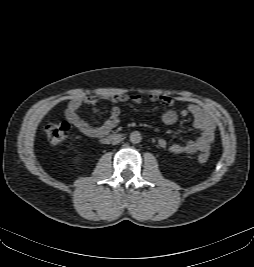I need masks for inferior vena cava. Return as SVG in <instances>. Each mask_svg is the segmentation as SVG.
I'll list each match as a JSON object with an SVG mask.
<instances>
[{
	"label": "inferior vena cava",
	"instance_id": "602c4592",
	"mask_svg": "<svg viewBox=\"0 0 254 267\" xmlns=\"http://www.w3.org/2000/svg\"><path fill=\"white\" fill-rule=\"evenodd\" d=\"M122 139L120 138H115L113 141H112V144H118Z\"/></svg>",
	"mask_w": 254,
	"mask_h": 267
}]
</instances>
